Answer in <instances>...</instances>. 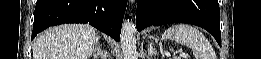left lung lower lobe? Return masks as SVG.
Wrapping results in <instances>:
<instances>
[{
  "mask_svg": "<svg viewBox=\"0 0 261 59\" xmlns=\"http://www.w3.org/2000/svg\"><path fill=\"white\" fill-rule=\"evenodd\" d=\"M190 23L210 32L221 46L218 0H138L136 27Z\"/></svg>",
  "mask_w": 261,
  "mask_h": 59,
  "instance_id": "obj_1",
  "label": "left lung lower lobe"
}]
</instances>
